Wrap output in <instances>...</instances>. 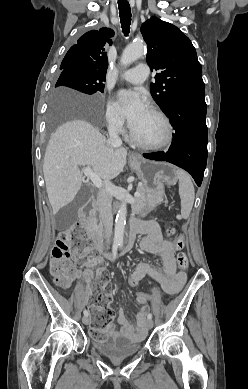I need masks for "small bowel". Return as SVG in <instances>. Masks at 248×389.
<instances>
[{"mask_svg": "<svg viewBox=\"0 0 248 389\" xmlns=\"http://www.w3.org/2000/svg\"><path fill=\"white\" fill-rule=\"evenodd\" d=\"M140 226V233L145 236L140 243L142 251L157 255L161 258L163 268L157 269L152 267L147 262H140L135 271L130 273L132 277H137L142 280L145 277L154 279L161 289L167 294H175L181 290L185 283V274L176 272L175 252L179 249L175 242L162 240L160 228L154 221L136 222ZM90 264L89 266H91ZM90 273V271H88ZM139 283V282H138ZM111 297V296H110ZM141 308L136 312V322L132 323L124 308L119 310L118 323L120 329L118 331L108 330L105 332L107 336H122L132 341H140L144 338L147 332V317L150 312L149 301H142L141 298H136ZM88 305H92L88 300Z\"/></svg>", "mask_w": 248, "mask_h": 389, "instance_id": "c3829d8e", "label": "small bowel"}]
</instances>
